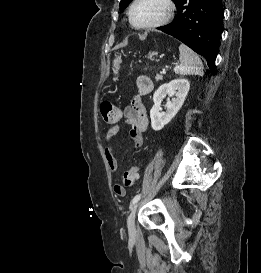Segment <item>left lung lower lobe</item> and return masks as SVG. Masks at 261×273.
Masks as SVG:
<instances>
[{"label":"left lung lower lobe","mask_w":261,"mask_h":273,"mask_svg":"<svg viewBox=\"0 0 261 273\" xmlns=\"http://www.w3.org/2000/svg\"><path fill=\"white\" fill-rule=\"evenodd\" d=\"M173 23L158 28L204 56L214 68L221 34L222 0H177Z\"/></svg>","instance_id":"obj_1"}]
</instances>
